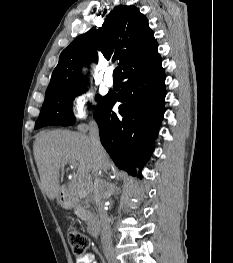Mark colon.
I'll return each mask as SVG.
<instances>
[{"instance_id":"obj_1","label":"colon","mask_w":233,"mask_h":263,"mask_svg":"<svg viewBox=\"0 0 233 263\" xmlns=\"http://www.w3.org/2000/svg\"><path fill=\"white\" fill-rule=\"evenodd\" d=\"M67 237L74 257L80 259L85 256L89 247L88 237L82 231L74 228L68 230Z\"/></svg>"}]
</instances>
